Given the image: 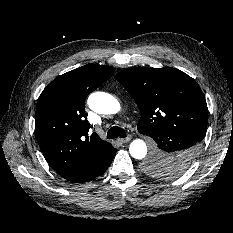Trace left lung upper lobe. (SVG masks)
I'll return each instance as SVG.
<instances>
[{
    "instance_id": "5c2ea615",
    "label": "left lung upper lobe",
    "mask_w": 233,
    "mask_h": 233,
    "mask_svg": "<svg viewBox=\"0 0 233 233\" xmlns=\"http://www.w3.org/2000/svg\"><path fill=\"white\" fill-rule=\"evenodd\" d=\"M116 78L138 105L141 118L137 127L141 134L151 136L158 130L183 132L195 138L199 151L207 131L208 108L194 79L171 67L128 68ZM143 167L157 177L186 171L154 152Z\"/></svg>"
}]
</instances>
